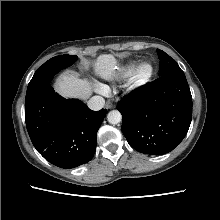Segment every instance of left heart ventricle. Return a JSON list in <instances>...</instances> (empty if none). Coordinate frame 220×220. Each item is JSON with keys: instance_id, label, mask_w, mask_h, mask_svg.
I'll list each match as a JSON object with an SVG mask.
<instances>
[{"instance_id": "b2bd125f", "label": "left heart ventricle", "mask_w": 220, "mask_h": 220, "mask_svg": "<svg viewBox=\"0 0 220 220\" xmlns=\"http://www.w3.org/2000/svg\"><path fill=\"white\" fill-rule=\"evenodd\" d=\"M146 69H147V68H144V69L142 70V71H143V73H145V72H146Z\"/></svg>"}]
</instances>
